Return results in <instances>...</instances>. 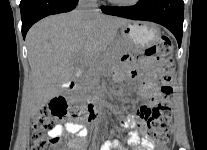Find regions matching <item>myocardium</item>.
Listing matches in <instances>:
<instances>
[{"label": "myocardium", "mask_w": 207, "mask_h": 150, "mask_svg": "<svg viewBox=\"0 0 207 150\" xmlns=\"http://www.w3.org/2000/svg\"><path fill=\"white\" fill-rule=\"evenodd\" d=\"M113 5L119 6V7H132L141 2V0H108Z\"/></svg>", "instance_id": "myocardium-1"}]
</instances>
